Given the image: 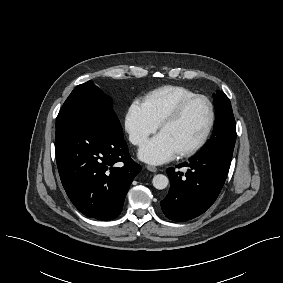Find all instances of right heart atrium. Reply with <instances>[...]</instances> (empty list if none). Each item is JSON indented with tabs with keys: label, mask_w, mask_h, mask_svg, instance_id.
Segmentation results:
<instances>
[{
	"label": "right heart atrium",
	"mask_w": 283,
	"mask_h": 283,
	"mask_svg": "<svg viewBox=\"0 0 283 283\" xmlns=\"http://www.w3.org/2000/svg\"><path fill=\"white\" fill-rule=\"evenodd\" d=\"M157 129L158 124L149 116L143 102L133 100L125 116V130L131 143L142 145Z\"/></svg>",
	"instance_id": "d8ad5b80"
}]
</instances>
